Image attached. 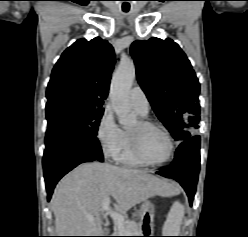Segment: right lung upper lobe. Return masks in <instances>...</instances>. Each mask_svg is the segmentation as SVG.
<instances>
[{
	"instance_id": "1",
	"label": "right lung upper lobe",
	"mask_w": 248,
	"mask_h": 237,
	"mask_svg": "<svg viewBox=\"0 0 248 237\" xmlns=\"http://www.w3.org/2000/svg\"><path fill=\"white\" fill-rule=\"evenodd\" d=\"M114 64V50L106 40H77L53 68L46 92L48 101L75 98L103 103Z\"/></svg>"
}]
</instances>
